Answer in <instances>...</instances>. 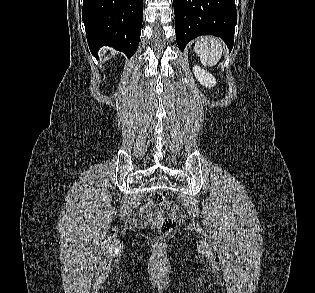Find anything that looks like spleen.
<instances>
[{
    "mask_svg": "<svg viewBox=\"0 0 315 293\" xmlns=\"http://www.w3.org/2000/svg\"><path fill=\"white\" fill-rule=\"evenodd\" d=\"M195 53L205 66H214L222 56V43L215 37H203L195 43Z\"/></svg>",
    "mask_w": 315,
    "mask_h": 293,
    "instance_id": "1",
    "label": "spleen"
}]
</instances>
